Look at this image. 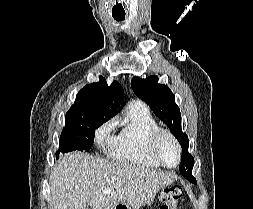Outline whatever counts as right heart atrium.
<instances>
[{
    "label": "right heart atrium",
    "instance_id": "obj_1",
    "mask_svg": "<svg viewBox=\"0 0 253 209\" xmlns=\"http://www.w3.org/2000/svg\"><path fill=\"white\" fill-rule=\"evenodd\" d=\"M111 131H112V124L110 121L102 123L95 130L94 134L95 143L100 147L109 146L113 140Z\"/></svg>",
    "mask_w": 253,
    "mask_h": 209
}]
</instances>
